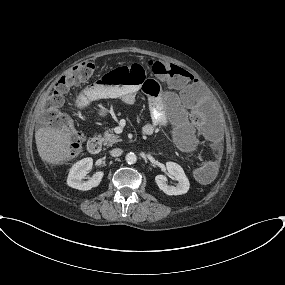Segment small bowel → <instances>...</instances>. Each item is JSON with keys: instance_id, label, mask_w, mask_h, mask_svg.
Segmentation results:
<instances>
[{"instance_id": "small-bowel-1", "label": "small bowel", "mask_w": 285, "mask_h": 285, "mask_svg": "<svg viewBox=\"0 0 285 285\" xmlns=\"http://www.w3.org/2000/svg\"><path fill=\"white\" fill-rule=\"evenodd\" d=\"M187 79L185 76H180L177 80L176 86L180 89L185 88ZM140 85H124L122 87H103L100 84H93L82 90L74 99L76 107L81 108L87 103L95 101L101 98H119L124 103L132 105L136 100V93L139 91ZM168 110L171 114V118L175 123H181L183 121V112L180 105L172 100H165ZM163 99L149 98V113L151 120L142 128V134L144 136H150L155 133L157 129H163L165 127V120L161 114V105ZM206 141L214 146V149H218L219 138L216 134L208 131L203 134ZM192 144L194 145V138H192ZM216 166L214 162H209Z\"/></svg>"}]
</instances>
